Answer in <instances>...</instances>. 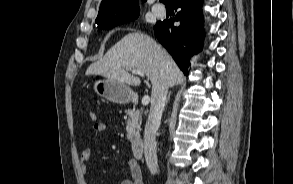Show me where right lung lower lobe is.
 Listing matches in <instances>:
<instances>
[{
	"label": "right lung lower lobe",
	"instance_id": "right-lung-lower-lobe-1",
	"mask_svg": "<svg viewBox=\"0 0 293 184\" xmlns=\"http://www.w3.org/2000/svg\"><path fill=\"white\" fill-rule=\"evenodd\" d=\"M178 13L174 19L158 22L154 33L169 51L185 75L190 58L201 50L203 32V0H171ZM174 21L180 22L174 26Z\"/></svg>",
	"mask_w": 293,
	"mask_h": 184
}]
</instances>
